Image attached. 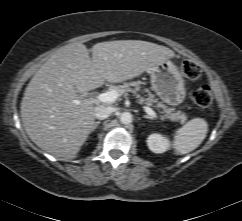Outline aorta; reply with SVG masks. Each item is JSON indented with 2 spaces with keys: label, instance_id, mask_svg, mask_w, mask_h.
Instances as JSON below:
<instances>
[{
  "label": "aorta",
  "instance_id": "1",
  "mask_svg": "<svg viewBox=\"0 0 242 221\" xmlns=\"http://www.w3.org/2000/svg\"><path fill=\"white\" fill-rule=\"evenodd\" d=\"M120 122L122 124H130L133 120L132 114L130 112H123L119 116Z\"/></svg>",
  "mask_w": 242,
  "mask_h": 221
}]
</instances>
